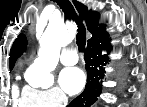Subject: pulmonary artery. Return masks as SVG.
<instances>
[{"label": "pulmonary artery", "mask_w": 147, "mask_h": 107, "mask_svg": "<svg viewBox=\"0 0 147 107\" xmlns=\"http://www.w3.org/2000/svg\"><path fill=\"white\" fill-rule=\"evenodd\" d=\"M60 61L64 65H74L78 61V56L74 49H66L63 51Z\"/></svg>", "instance_id": "e3ab8cb5"}]
</instances>
